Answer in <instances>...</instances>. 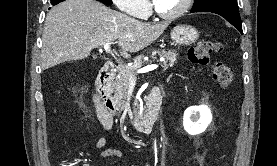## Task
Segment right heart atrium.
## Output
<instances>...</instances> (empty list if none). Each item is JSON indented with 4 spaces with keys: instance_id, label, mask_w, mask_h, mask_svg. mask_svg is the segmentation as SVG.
Segmentation results:
<instances>
[{
    "instance_id": "right-heart-atrium-1",
    "label": "right heart atrium",
    "mask_w": 277,
    "mask_h": 166,
    "mask_svg": "<svg viewBox=\"0 0 277 166\" xmlns=\"http://www.w3.org/2000/svg\"><path fill=\"white\" fill-rule=\"evenodd\" d=\"M112 2L122 12L136 17L144 16L149 9L147 0H112Z\"/></svg>"
}]
</instances>
